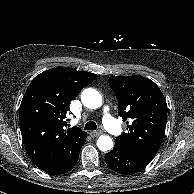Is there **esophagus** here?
Returning <instances> with one entry per match:
<instances>
[{"mask_svg":"<svg viewBox=\"0 0 194 194\" xmlns=\"http://www.w3.org/2000/svg\"><path fill=\"white\" fill-rule=\"evenodd\" d=\"M102 134V131H91L90 132V135L92 136V137H97V136H99V135H101Z\"/></svg>","mask_w":194,"mask_h":194,"instance_id":"1","label":"esophagus"}]
</instances>
